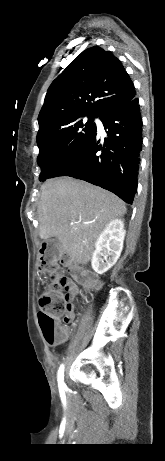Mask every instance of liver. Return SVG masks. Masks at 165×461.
Listing matches in <instances>:
<instances>
[{
  "label": "liver",
  "mask_w": 165,
  "mask_h": 461,
  "mask_svg": "<svg viewBox=\"0 0 165 461\" xmlns=\"http://www.w3.org/2000/svg\"><path fill=\"white\" fill-rule=\"evenodd\" d=\"M37 212L40 238H58L73 261L87 264L100 232L111 220L123 216L126 206L100 187L60 177L41 186Z\"/></svg>",
  "instance_id": "1"
}]
</instances>
